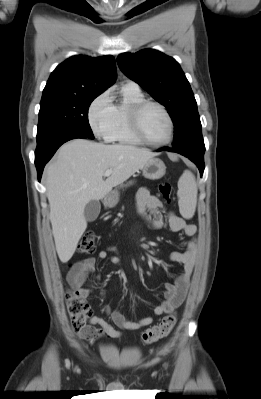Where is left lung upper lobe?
<instances>
[{"mask_svg":"<svg viewBox=\"0 0 261 399\" xmlns=\"http://www.w3.org/2000/svg\"><path fill=\"white\" fill-rule=\"evenodd\" d=\"M121 71L163 104L175 126L173 148L205 149L197 103L179 63L160 51L144 49L117 57Z\"/></svg>","mask_w":261,"mask_h":399,"instance_id":"obj_1","label":"left lung upper lobe"}]
</instances>
